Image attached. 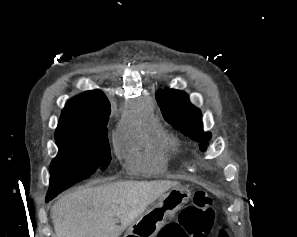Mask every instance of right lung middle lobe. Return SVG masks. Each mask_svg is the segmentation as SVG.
Wrapping results in <instances>:
<instances>
[{"label": "right lung middle lobe", "mask_w": 297, "mask_h": 237, "mask_svg": "<svg viewBox=\"0 0 297 237\" xmlns=\"http://www.w3.org/2000/svg\"><path fill=\"white\" fill-rule=\"evenodd\" d=\"M106 126L56 129L55 141L59 152L50 165V186L46 197L54 198L86 179L98 167L107 168L111 155Z\"/></svg>", "instance_id": "right-lung-middle-lobe-1"}]
</instances>
